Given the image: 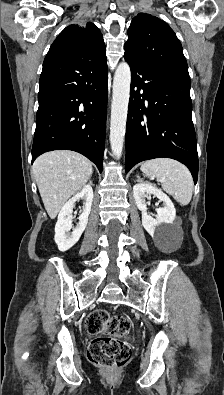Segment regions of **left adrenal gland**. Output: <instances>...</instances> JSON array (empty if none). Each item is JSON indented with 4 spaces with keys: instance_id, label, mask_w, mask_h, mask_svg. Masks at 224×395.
Wrapping results in <instances>:
<instances>
[{
    "instance_id": "left-adrenal-gland-1",
    "label": "left adrenal gland",
    "mask_w": 224,
    "mask_h": 395,
    "mask_svg": "<svg viewBox=\"0 0 224 395\" xmlns=\"http://www.w3.org/2000/svg\"><path fill=\"white\" fill-rule=\"evenodd\" d=\"M136 177H137V181H142L139 175H136Z\"/></svg>"
}]
</instances>
